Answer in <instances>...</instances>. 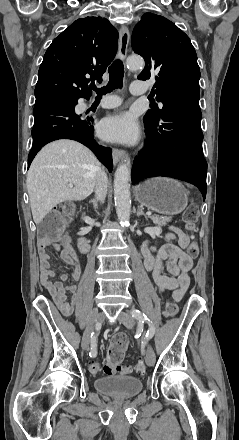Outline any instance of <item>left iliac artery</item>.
I'll return each instance as SVG.
<instances>
[{
    "instance_id": "left-iliac-artery-1",
    "label": "left iliac artery",
    "mask_w": 239,
    "mask_h": 440,
    "mask_svg": "<svg viewBox=\"0 0 239 440\" xmlns=\"http://www.w3.org/2000/svg\"><path fill=\"white\" fill-rule=\"evenodd\" d=\"M131 314L140 323H148V325H149V329H148V331L146 333L145 340L142 342V345H141L142 348H144L146 342L148 340H150L154 336V334H155V327L150 322V320L147 318V316L144 313H142L141 311H139L137 309H133V310H131Z\"/></svg>"
}]
</instances>
